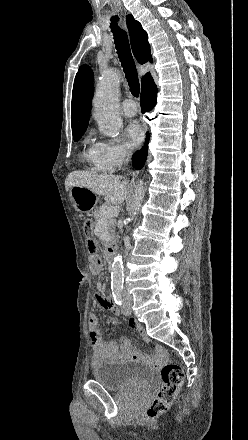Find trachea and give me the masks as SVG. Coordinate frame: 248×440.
Listing matches in <instances>:
<instances>
[{
  "label": "trachea",
  "instance_id": "trachea-1",
  "mask_svg": "<svg viewBox=\"0 0 248 440\" xmlns=\"http://www.w3.org/2000/svg\"><path fill=\"white\" fill-rule=\"evenodd\" d=\"M117 21V17L111 19V31L114 35L117 54L129 84L130 91L133 96L138 97L140 84L136 65L131 54L128 36L127 33L118 26Z\"/></svg>",
  "mask_w": 248,
  "mask_h": 440
}]
</instances>
